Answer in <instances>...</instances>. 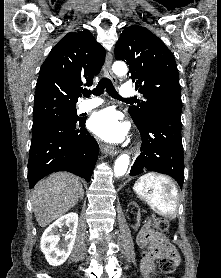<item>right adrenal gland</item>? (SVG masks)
Returning a JSON list of instances; mask_svg holds the SVG:
<instances>
[{
	"instance_id": "1",
	"label": "right adrenal gland",
	"mask_w": 221,
	"mask_h": 278,
	"mask_svg": "<svg viewBox=\"0 0 221 278\" xmlns=\"http://www.w3.org/2000/svg\"><path fill=\"white\" fill-rule=\"evenodd\" d=\"M83 197H84V191H83V193H82V195H81L80 199L82 200V199H83Z\"/></svg>"
}]
</instances>
